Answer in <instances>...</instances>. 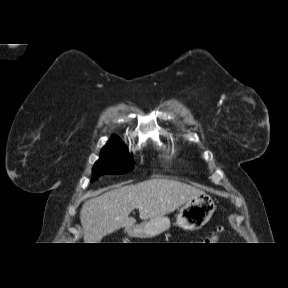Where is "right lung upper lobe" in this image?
Instances as JSON below:
<instances>
[{
    "mask_svg": "<svg viewBox=\"0 0 288 288\" xmlns=\"http://www.w3.org/2000/svg\"><path fill=\"white\" fill-rule=\"evenodd\" d=\"M113 140H120V139L116 136H112L110 141H113Z\"/></svg>",
    "mask_w": 288,
    "mask_h": 288,
    "instance_id": "cb5924a9",
    "label": "right lung upper lobe"
}]
</instances>
